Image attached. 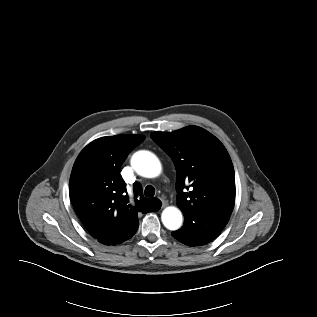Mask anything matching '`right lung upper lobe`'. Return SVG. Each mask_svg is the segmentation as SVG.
Returning <instances> with one entry per match:
<instances>
[{
    "label": "right lung upper lobe",
    "instance_id": "1",
    "mask_svg": "<svg viewBox=\"0 0 317 317\" xmlns=\"http://www.w3.org/2000/svg\"><path fill=\"white\" fill-rule=\"evenodd\" d=\"M145 139L142 135H116L96 139L77 157L69 194L72 205L88 232L106 245L130 239L138 228V213L152 212L161 201L143 197L139 183L128 195L120 166Z\"/></svg>",
    "mask_w": 317,
    "mask_h": 317
}]
</instances>
